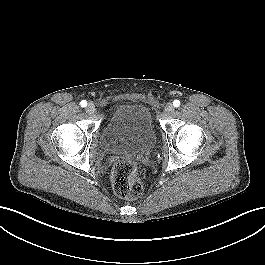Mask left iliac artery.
Here are the masks:
<instances>
[{"mask_svg":"<svg viewBox=\"0 0 265 265\" xmlns=\"http://www.w3.org/2000/svg\"><path fill=\"white\" fill-rule=\"evenodd\" d=\"M174 107H179L180 106V101L179 100H174L173 101Z\"/></svg>","mask_w":265,"mask_h":265,"instance_id":"44dca946","label":"left iliac artery"}]
</instances>
